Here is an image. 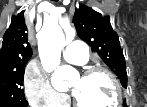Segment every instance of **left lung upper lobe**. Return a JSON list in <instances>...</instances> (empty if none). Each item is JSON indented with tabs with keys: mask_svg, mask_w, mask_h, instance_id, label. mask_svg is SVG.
Wrapping results in <instances>:
<instances>
[{
	"mask_svg": "<svg viewBox=\"0 0 147 107\" xmlns=\"http://www.w3.org/2000/svg\"><path fill=\"white\" fill-rule=\"evenodd\" d=\"M73 23L78 36L98 53L106 65L120 78L127 88V72L123 50L117 33L112 29L110 19L92 8L81 5L76 9Z\"/></svg>",
	"mask_w": 147,
	"mask_h": 107,
	"instance_id": "left-lung-upper-lobe-1",
	"label": "left lung upper lobe"
}]
</instances>
